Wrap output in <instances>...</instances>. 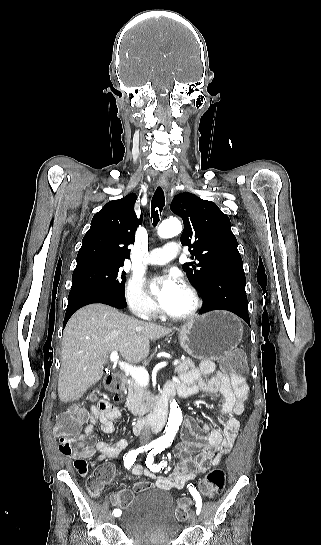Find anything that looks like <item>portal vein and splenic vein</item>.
Masks as SVG:
<instances>
[{"mask_svg":"<svg viewBox=\"0 0 321 545\" xmlns=\"http://www.w3.org/2000/svg\"><path fill=\"white\" fill-rule=\"evenodd\" d=\"M118 359V351H112L110 361H113V363H118L120 369L125 371V373H128V375H131L132 379H135L139 385H148L149 373L146 371V369H143V367H132V365H128V363H121V361H118ZM173 364L174 366H178L179 361L174 359Z\"/></svg>","mask_w":321,"mask_h":545,"instance_id":"obj_1","label":"portal vein and splenic vein"}]
</instances>
